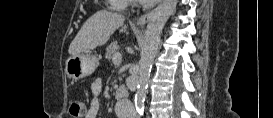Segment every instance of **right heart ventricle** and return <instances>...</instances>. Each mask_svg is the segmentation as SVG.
Returning a JSON list of instances; mask_svg holds the SVG:
<instances>
[{"instance_id": "right-heart-ventricle-1", "label": "right heart ventricle", "mask_w": 273, "mask_h": 118, "mask_svg": "<svg viewBox=\"0 0 273 118\" xmlns=\"http://www.w3.org/2000/svg\"><path fill=\"white\" fill-rule=\"evenodd\" d=\"M111 3H112V8H114V9H116V10H121V9H123L124 4H125V2L116 1V0L111 1Z\"/></svg>"}]
</instances>
